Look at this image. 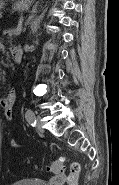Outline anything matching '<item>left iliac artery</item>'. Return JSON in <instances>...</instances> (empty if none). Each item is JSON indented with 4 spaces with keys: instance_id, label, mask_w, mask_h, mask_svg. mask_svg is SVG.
Wrapping results in <instances>:
<instances>
[{
    "instance_id": "1",
    "label": "left iliac artery",
    "mask_w": 119,
    "mask_h": 185,
    "mask_svg": "<svg viewBox=\"0 0 119 185\" xmlns=\"http://www.w3.org/2000/svg\"><path fill=\"white\" fill-rule=\"evenodd\" d=\"M25 118L31 126L36 125L35 114L32 110L28 109L25 113Z\"/></svg>"
}]
</instances>
